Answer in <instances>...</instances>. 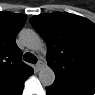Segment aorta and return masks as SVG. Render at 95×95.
<instances>
[{
	"mask_svg": "<svg viewBox=\"0 0 95 95\" xmlns=\"http://www.w3.org/2000/svg\"><path fill=\"white\" fill-rule=\"evenodd\" d=\"M19 38L21 42L29 49L38 50L43 46L40 36L32 29H23ZM39 80L43 86H51L55 81V73L53 69L45 65L39 71Z\"/></svg>",
	"mask_w": 95,
	"mask_h": 95,
	"instance_id": "aorta-1",
	"label": "aorta"
}]
</instances>
